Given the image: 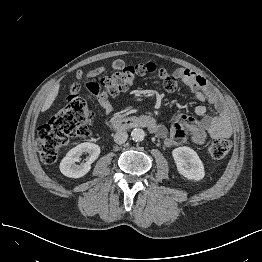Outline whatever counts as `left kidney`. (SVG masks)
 <instances>
[{"label":"left kidney","mask_w":262,"mask_h":262,"mask_svg":"<svg viewBox=\"0 0 262 262\" xmlns=\"http://www.w3.org/2000/svg\"><path fill=\"white\" fill-rule=\"evenodd\" d=\"M178 172L189 180L204 178V166L198 154L190 147H178L172 151Z\"/></svg>","instance_id":"5707ae66"}]
</instances>
